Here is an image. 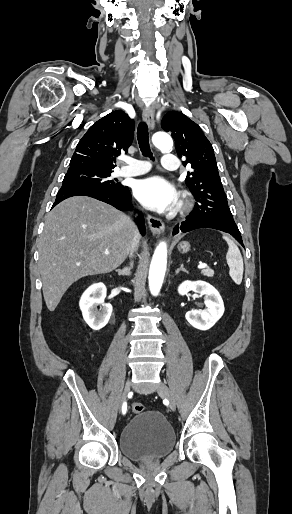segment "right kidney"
I'll return each instance as SVG.
<instances>
[{
  "mask_svg": "<svg viewBox=\"0 0 292 514\" xmlns=\"http://www.w3.org/2000/svg\"><path fill=\"white\" fill-rule=\"evenodd\" d=\"M106 288L104 284H93L82 294L80 310L83 318L92 330H101L110 320L113 312L111 304H104ZM97 306H101L98 310Z\"/></svg>",
  "mask_w": 292,
  "mask_h": 514,
  "instance_id": "right-kidney-1",
  "label": "right kidney"
}]
</instances>
